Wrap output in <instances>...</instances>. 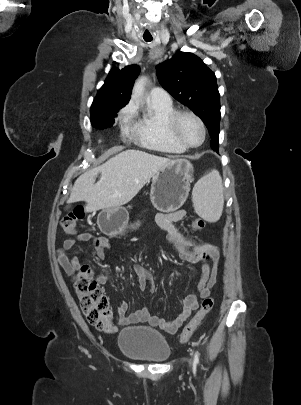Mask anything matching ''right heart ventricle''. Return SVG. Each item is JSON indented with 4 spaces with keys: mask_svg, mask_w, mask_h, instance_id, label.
I'll return each mask as SVG.
<instances>
[{
    "mask_svg": "<svg viewBox=\"0 0 301 405\" xmlns=\"http://www.w3.org/2000/svg\"><path fill=\"white\" fill-rule=\"evenodd\" d=\"M175 112L172 104L149 103L142 114L133 110L128 122V133L141 146L162 153L180 154L187 149L179 144L168 132V118Z\"/></svg>",
    "mask_w": 301,
    "mask_h": 405,
    "instance_id": "e07e8e85",
    "label": "right heart ventricle"
}]
</instances>
